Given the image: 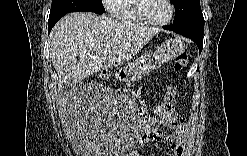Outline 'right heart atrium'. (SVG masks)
<instances>
[{"label": "right heart atrium", "instance_id": "1", "mask_svg": "<svg viewBox=\"0 0 247 156\" xmlns=\"http://www.w3.org/2000/svg\"><path fill=\"white\" fill-rule=\"evenodd\" d=\"M118 1L116 0H105L103 2L104 6L109 9L111 13H114V7L116 6Z\"/></svg>", "mask_w": 247, "mask_h": 156}]
</instances>
